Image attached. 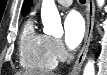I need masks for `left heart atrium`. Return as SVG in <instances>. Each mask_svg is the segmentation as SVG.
<instances>
[{
    "instance_id": "1",
    "label": "left heart atrium",
    "mask_w": 107,
    "mask_h": 75,
    "mask_svg": "<svg viewBox=\"0 0 107 75\" xmlns=\"http://www.w3.org/2000/svg\"><path fill=\"white\" fill-rule=\"evenodd\" d=\"M85 34V23L82 16L75 12H69L64 20V39L66 45L74 49L82 41Z\"/></svg>"
}]
</instances>
